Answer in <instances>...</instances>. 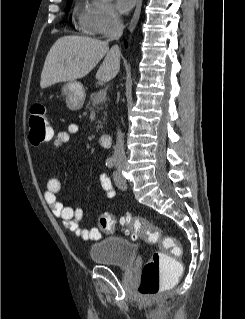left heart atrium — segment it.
<instances>
[{
	"mask_svg": "<svg viewBox=\"0 0 245 319\" xmlns=\"http://www.w3.org/2000/svg\"><path fill=\"white\" fill-rule=\"evenodd\" d=\"M135 2L136 0H116V5L121 13H127L133 8Z\"/></svg>",
	"mask_w": 245,
	"mask_h": 319,
	"instance_id": "39dd6f15",
	"label": "left heart atrium"
}]
</instances>
